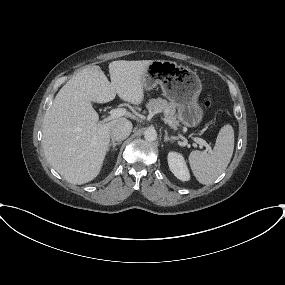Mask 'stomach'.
I'll return each mask as SVG.
<instances>
[{
	"label": "stomach",
	"instance_id": "1",
	"mask_svg": "<svg viewBox=\"0 0 285 285\" xmlns=\"http://www.w3.org/2000/svg\"><path fill=\"white\" fill-rule=\"evenodd\" d=\"M142 84L148 91L160 85L163 95L177 107V119L185 127H196L202 122L204 111L198 103L202 84L188 67L168 60H153L145 71Z\"/></svg>",
	"mask_w": 285,
	"mask_h": 285
}]
</instances>
